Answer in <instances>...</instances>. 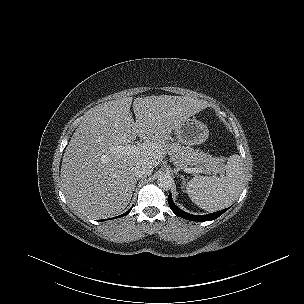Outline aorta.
<instances>
[{"mask_svg": "<svg viewBox=\"0 0 304 304\" xmlns=\"http://www.w3.org/2000/svg\"><path fill=\"white\" fill-rule=\"evenodd\" d=\"M157 184L161 189L169 190L172 186V180H171L170 176H168L166 174H161V175H159V177L157 179Z\"/></svg>", "mask_w": 304, "mask_h": 304, "instance_id": "1", "label": "aorta"}]
</instances>
